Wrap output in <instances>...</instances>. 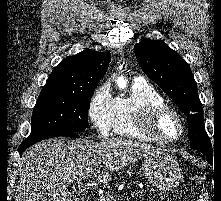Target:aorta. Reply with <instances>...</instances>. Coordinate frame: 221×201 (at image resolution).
I'll return each instance as SVG.
<instances>
[{
    "instance_id": "obj_1",
    "label": "aorta",
    "mask_w": 221,
    "mask_h": 201,
    "mask_svg": "<svg viewBox=\"0 0 221 201\" xmlns=\"http://www.w3.org/2000/svg\"><path fill=\"white\" fill-rule=\"evenodd\" d=\"M117 85L120 89L126 88L127 84H126V80L124 79V77L121 76L117 79Z\"/></svg>"
}]
</instances>
